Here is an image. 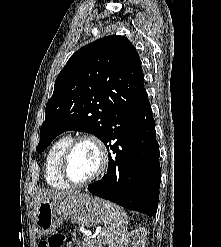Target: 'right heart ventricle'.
Segmentation results:
<instances>
[{"label": "right heart ventricle", "mask_w": 221, "mask_h": 247, "mask_svg": "<svg viewBox=\"0 0 221 247\" xmlns=\"http://www.w3.org/2000/svg\"><path fill=\"white\" fill-rule=\"evenodd\" d=\"M72 137L64 135L58 138L49 148L45 160V178L47 183L55 189L65 190L70 185L63 179L60 173L61 160Z\"/></svg>", "instance_id": "obj_1"}]
</instances>
